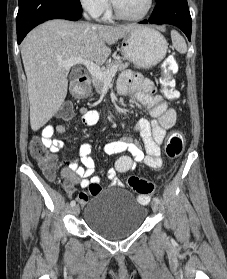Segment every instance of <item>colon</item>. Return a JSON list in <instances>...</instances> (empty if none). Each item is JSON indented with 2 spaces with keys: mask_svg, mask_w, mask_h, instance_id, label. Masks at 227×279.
Returning <instances> with one entry per match:
<instances>
[{
  "mask_svg": "<svg viewBox=\"0 0 227 279\" xmlns=\"http://www.w3.org/2000/svg\"><path fill=\"white\" fill-rule=\"evenodd\" d=\"M178 71V64L174 57H167L162 62V70L159 75V84L161 87L162 95L169 99L174 100L179 97V93L176 89V81L174 75ZM72 114V107L64 104L61 108V115L64 118L70 117ZM184 136L180 131H172L169 133L165 143V154L170 159L178 158L184 147ZM29 154L36 160L39 166L43 169L48 177L54 175V158L49 154L44 145L43 139L31 140L29 144ZM128 186L137 194L138 200L141 204H145L149 201L150 196L154 193L155 187L153 183L147 179L132 175L127 179ZM99 186L92 184L90 186V192H97ZM78 196L87 197V194L80 193Z\"/></svg>",
  "mask_w": 227,
  "mask_h": 279,
  "instance_id": "colon-1",
  "label": "colon"
}]
</instances>
